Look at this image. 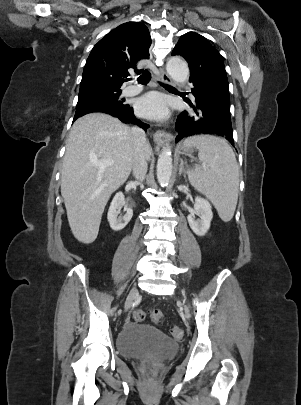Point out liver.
<instances>
[{"label": "liver", "instance_id": "obj_1", "mask_svg": "<svg viewBox=\"0 0 301 405\" xmlns=\"http://www.w3.org/2000/svg\"><path fill=\"white\" fill-rule=\"evenodd\" d=\"M152 149L144 146L146 159ZM134 158V137L120 120L102 113L78 118L70 131L61 171V195L73 235L92 243L104 208L128 179ZM111 160V166L98 163Z\"/></svg>", "mask_w": 301, "mask_h": 405}]
</instances>
